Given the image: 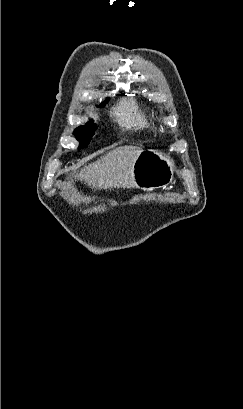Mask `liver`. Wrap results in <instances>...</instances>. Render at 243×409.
Instances as JSON below:
<instances>
[{
	"label": "liver",
	"instance_id": "1",
	"mask_svg": "<svg viewBox=\"0 0 243 409\" xmlns=\"http://www.w3.org/2000/svg\"><path fill=\"white\" fill-rule=\"evenodd\" d=\"M141 152L142 150L135 146L118 147L80 171H75L74 178L99 190L133 188V165Z\"/></svg>",
	"mask_w": 243,
	"mask_h": 409
}]
</instances>
